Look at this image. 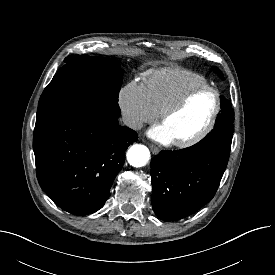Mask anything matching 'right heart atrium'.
<instances>
[{"mask_svg": "<svg viewBox=\"0 0 275 275\" xmlns=\"http://www.w3.org/2000/svg\"><path fill=\"white\" fill-rule=\"evenodd\" d=\"M119 105L125 123L133 129L151 122L156 117V112L150 105L143 85L134 81L121 89Z\"/></svg>", "mask_w": 275, "mask_h": 275, "instance_id": "obj_1", "label": "right heart atrium"}]
</instances>
